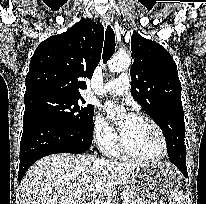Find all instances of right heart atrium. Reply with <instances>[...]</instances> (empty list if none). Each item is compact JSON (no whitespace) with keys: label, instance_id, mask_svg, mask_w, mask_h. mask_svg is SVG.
Instances as JSON below:
<instances>
[{"label":"right heart atrium","instance_id":"d8ad5b80","mask_svg":"<svg viewBox=\"0 0 206 204\" xmlns=\"http://www.w3.org/2000/svg\"><path fill=\"white\" fill-rule=\"evenodd\" d=\"M93 137L99 147L105 152H110L116 146L118 140L115 130L100 114L94 118Z\"/></svg>","mask_w":206,"mask_h":204}]
</instances>
